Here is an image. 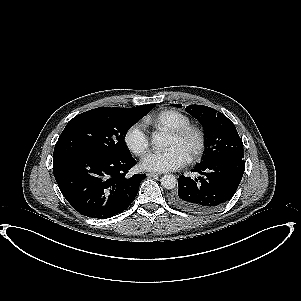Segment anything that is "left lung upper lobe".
Wrapping results in <instances>:
<instances>
[{
  "instance_id": "5c2ea615",
  "label": "left lung upper lobe",
  "mask_w": 301,
  "mask_h": 301,
  "mask_svg": "<svg viewBox=\"0 0 301 301\" xmlns=\"http://www.w3.org/2000/svg\"><path fill=\"white\" fill-rule=\"evenodd\" d=\"M182 107L181 104H173ZM186 111L203 126L207 135V148L199 166H206L214 160L235 155L244 158L243 143L237 130L223 113L203 105H189Z\"/></svg>"
}]
</instances>
